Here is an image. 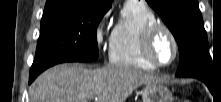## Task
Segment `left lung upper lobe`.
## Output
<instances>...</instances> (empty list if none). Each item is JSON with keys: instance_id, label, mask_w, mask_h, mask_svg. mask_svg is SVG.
Instances as JSON below:
<instances>
[{"instance_id": "obj_1", "label": "left lung upper lobe", "mask_w": 221, "mask_h": 102, "mask_svg": "<svg viewBox=\"0 0 221 102\" xmlns=\"http://www.w3.org/2000/svg\"><path fill=\"white\" fill-rule=\"evenodd\" d=\"M173 33L180 52L178 77L200 80L212 78V60L208 52L198 0H147Z\"/></svg>"}]
</instances>
